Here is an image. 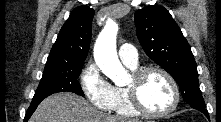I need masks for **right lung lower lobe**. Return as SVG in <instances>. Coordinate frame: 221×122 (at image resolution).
Instances as JSON below:
<instances>
[{"mask_svg": "<svg viewBox=\"0 0 221 122\" xmlns=\"http://www.w3.org/2000/svg\"><path fill=\"white\" fill-rule=\"evenodd\" d=\"M41 101H36V102H32L30 107L28 108L24 121H28V119L31 117V115L33 114V112L35 111V109L37 108V106L39 105Z\"/></svg>", "mask_w": 221, "mask_h": 122, "instance_id": "1", "label": "right lung lower lobe"}]
</instances>
